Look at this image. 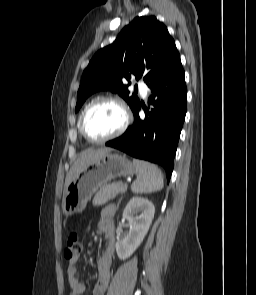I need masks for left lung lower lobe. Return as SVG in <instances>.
I'll use <instances>...</instances> for the list:
<instances>
[{"instance_id":"obj_1","label":"left lung lower lobe","mask_w":256,"mask_h":295,"mask_svg":"<svg viewBox=\"0 0 256 295\" xmlns=\"http://www.w3.org/2000/svg\"><path fill=\"white\" fill-rule=\"evenodd\" d=\"M148 87L151 89L150 106L144 109L145 118L139 117V103L133 110V125L106 146L163 166L169 182L187 110V88L181 61Z\"/></svg>"}]
</instances>
